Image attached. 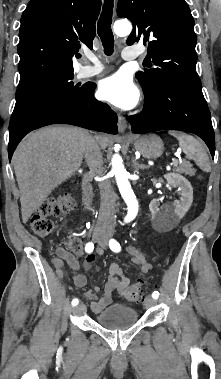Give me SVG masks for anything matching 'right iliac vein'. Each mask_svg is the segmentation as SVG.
Segmentation results:
<instances>
[{"instance_id": "obj_1", "label": "right iliac vein", "mask_w": 221, "mask_h": 379, "mask_svg": "<svg viewBox=\"0 0 221 379\" xmlns=\"http://www.w3.org/2000/svg\"><path fill=\"white\" fill-rule=\"evenodd\" d=\"M95 240L98 241L99 243L103 241V239L98 236L95 237ZM74 311L77 314H82L86 311V306L83 303H80L77 307H75Z\"/></svg>"}]
</instances>
